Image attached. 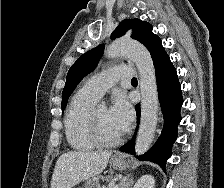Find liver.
Instances as JSON below:
<instances>
[{
  "label": "liver",
  "instance_id": "liver-1",
  "mask_svg": "<svg viewBox=\"0 0 224 188\" xmlns=\"http://www.w3.org/2000/svg\"><path fill=\"white\" fill-rule=\"evenodd\" d=\"M111 154V151H70L62 154L54 168L51 188H72L100 174Z\"/></svg>",
  "mask_w": 224,
  "mask_h": 188
}]
</instances>
